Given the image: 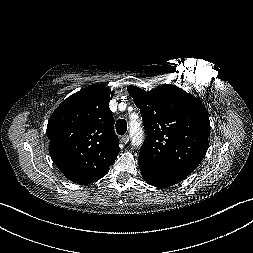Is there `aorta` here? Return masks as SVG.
<instances>
[{
    "label": "aorta",
    "mask_w": 253,
    "mask_h": 253,
    "mask_svg": "<svg viewBox=\"0 0 253 253\" xmlns=\"http://www.w3.org/2000/svg\"><path fill=\"white\" fill-rule=\"evenodd\" d=\"M130 136L134 147H140L143 144V130L138 122L130 123Z\"/></svg>",
    "instance_id": "1"
}]
</instances>
